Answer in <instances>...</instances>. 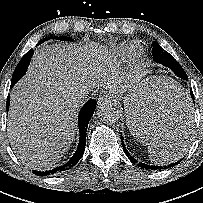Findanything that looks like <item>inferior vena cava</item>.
<instances>
[{
	"instance_id": "602c4592",
	"label": "inferior vena cava",
	"mask_w": 203,
	"mask_h": 203,
	"mask_svg": "<svg viewBox=\"0 0 203 203\" xmlns=\"http://www.w3.org/2000/svg\"><path fill=\"white\" fill-rule=\"evenodd\" d=\"M89 92L88 91H81L76 95V99L78 102H83L88 96Z\"/></svg>"
}]
</instances>
